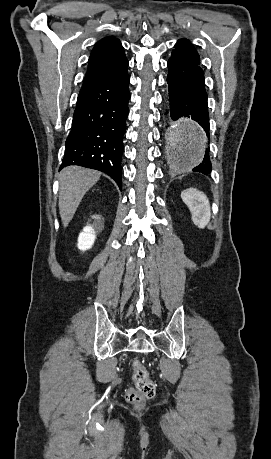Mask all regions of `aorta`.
<instances>
[{"mask_svg": "<svg viewBox=\"0 0 271 459\" xmlns=\"http://www.w3.org/2000/svg\"><path fill=\"white\" fill-rule=\"evenodd\" d=\"M206 138L197 124H173L166 137V156L175 171L191 170L204 157Z\"/></svg>", "mask_w": 271, "mask_h": 459, "instance_id": "1", "label": "aorta"}]
</instances>
